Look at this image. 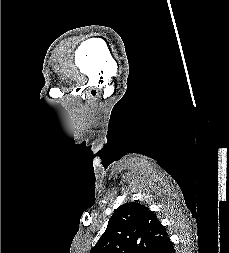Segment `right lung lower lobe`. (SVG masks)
I'll use <instances>...</instances> for the list:
<instances>
[{
  "label": "right lung lower lobe",
  "instance_id": "1",
  "mask_svg": "<svg viewBox=\"0 0 229 253\" xmlns=\"http://www.w3.org/2000/svg\"><path fill=\"white\" fill-rule=\"evenodd\" d=\"M159 253H175L174 246L172 242L170 241L167 245H165Z\"/></svg>",
  "mask_w": 229,
  "mask_h": 253
}]
</instances>
